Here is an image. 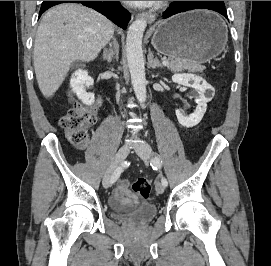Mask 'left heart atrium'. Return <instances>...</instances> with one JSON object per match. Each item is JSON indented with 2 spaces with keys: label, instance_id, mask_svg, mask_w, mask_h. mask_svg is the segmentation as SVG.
Segmentation results:
<instances>
[{
  "label": "left heart atrium",
  "instance_id": "1",
  "mask_svg": "<svg viewBox=\"0 0 271 266\" xmlns=\"http://www.w3.org/2000/svg\"><path fill=\"white\" fill-rule=\"evenodd\" d=\"M134 6H137V7H147V6H150L154 3H156L157 1H126Z\"/></svg>",
  "mask_w": 271,
  "mask_h": 266
}]
</instances>
